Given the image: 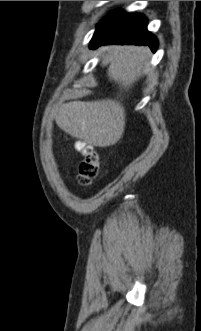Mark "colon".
<instances>
[{"label":"colon","mask_w":201,"mask_h":331,"mask_svg":"<svg viewBox=\"0 0 201 331\" xmlns=\"http://www.w3.org/2000/svg\"><path fill=\"white\" fill-rule=\"evenodd\" d=\"M77 149L82 153L83 160L79 166L78 181L83 186H88L99 174L101 169V155L91 146L79 143Z\"/></svg>","instance_id":"obj_1"}]
</instances>
